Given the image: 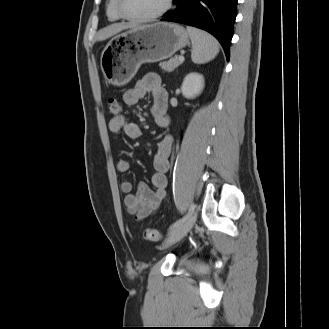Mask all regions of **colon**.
Listing matches in <instances>:
<instances>
[{
	"label": "colon",
	"mask_w": 329,
	"mask_h": 329,
	"mask_svg": "<svg viewBox=\"0 0 329 329\" xmlns=\"http://www.w3.org/2000/svg\"><path fill=\"white\" fill-rule=\"evenodd\" d=\"M109 111L113 116H119L121 114L122 105L116 98H110L108 100ZM142 237L148 241L159 242L163 239V233L160 230L145 228L142 231Z\"/></svg>",
	"instance_id": "colon-1"
}]
</instances>
